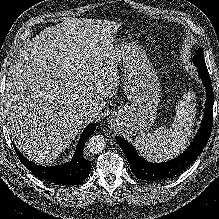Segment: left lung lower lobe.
I'll list each match as a JSON object with an SVG mask.
<instances>
[{"label": "left lung lower lobe", "instance_id": "obj_1", "mask_svg": "<svg viewBox=\"0 0 219 219\" xmlns=\"http://www.w3.org/2000/svg\"><path fill=\"white\" fill-rule=\"evenodd\" d=\"M198 68L206 88V108L201 127L191 145L177 158L165 163H151L140 157L134 147L122 137L116 136V141L125 153L132 173L139 179L161 181L170 179L186 169L203 151L210 137L213 125V89L206 66L195 65Z\"/></svg>", "mask_w": 219, "mask_h": 219}]
</instances>
